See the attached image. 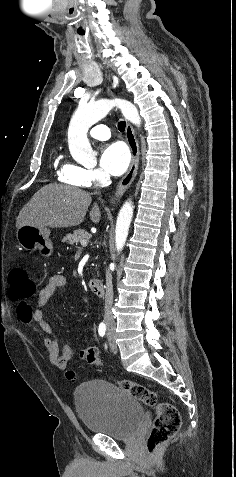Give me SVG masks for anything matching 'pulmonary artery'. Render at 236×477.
Wrapping results in <instances>:
<instances>
[{
	"mask_svg": "<svg viewBox=\"0 0 236 477\" xmlns=\"http://www.w3.org/2000/svg\"><path fill=\"white\" fill-rule=\"evenodd\" d=\"M89 135L92 138L98 139V140H108L111 136L110 130L106 125H95L93 126L90 131Z\"/></svg>",
	"mask_w": 236,
	"mask_h": 477,
	"instance_id": "pulmonary-artery-1",
	"label": "pulmonary artery"
}]
</instances>
